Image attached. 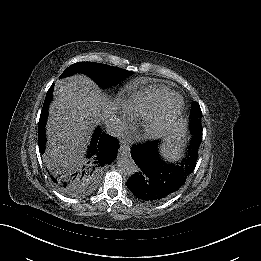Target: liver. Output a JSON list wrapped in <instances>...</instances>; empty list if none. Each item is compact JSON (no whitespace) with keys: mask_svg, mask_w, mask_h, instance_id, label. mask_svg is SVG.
I'll return each instance as SVG.
<instances>
[{"mask_svg":"<svg viewBox=\"0 0 261 261\" xmlns=\"http://www.w3.org/2000/svg\"><path fill=\"white\" fill-rule=\"evenodd\" d=\"M46 125L48 137L43 156L48 168L62 162L83 160L95 127L115 116L118 99H110L87 76L75 75L56 83ZM66 160V161H65Z\"/></svg>","mask_w":261,"mask_h":261,"instance_id":"obj_1","label":"liver"}]
</instances>
